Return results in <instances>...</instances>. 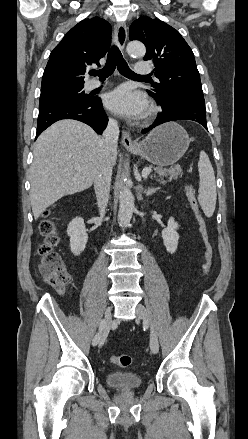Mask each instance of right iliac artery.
Instances as JSON below:
<instances>
[{
	"instance_id": "82829eb1",
	"label": "right iliac artery",
	"mask_w": 248,
	"mask_h": 439,
	"mask_svg": "<svg viewBox=\"0 0 248 439\" xmlns=\"http://www.w3.org/2000/svg\"><path fill=\"white\" fill-rule=\"evenodd\" d=\"M104 327H105V324L103 323V321H101V323H100L99 326L97 327L98 329L95 331V334H96V335H93V338H92V345H97L98 338H99V336H101V334H102L101 329L104 328Z\"/></svg>"
}]
</instances>
